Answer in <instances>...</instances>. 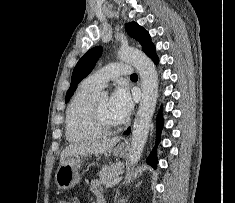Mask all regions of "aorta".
<instances>
[{
    "mask_svg": "<svg viewBox=\"0 0 235 203\" xmlns=\"http://www.w3.org/2000/svg\"><path fill=\"white\" fill-rule=\"evenodd\" d=\"M122 61L131 63L141 78L142 97L134 120L131 138L130 164L138 162L146 144L158 98V75L153 61L143 52L123 48L118 53Z\"/></svg>",
    "mask_w": 235,
    "mask_h": 203,
    "instance_id": "762f6f07",
    "label": "aorta"
}]
</instances>
